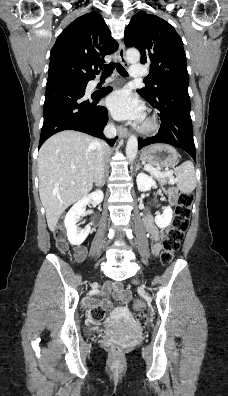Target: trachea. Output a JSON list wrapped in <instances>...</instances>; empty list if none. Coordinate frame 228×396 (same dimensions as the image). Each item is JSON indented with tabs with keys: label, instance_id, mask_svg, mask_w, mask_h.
<instances>
[{
	"label": "trachea",
	"instance_id": "3493384b",
	"mask_svg": "<svg viewBox=\"0 0 228 396\" xmlns=\"http://www.w3.org/2000/svg\"><path fill=\"white\" fill-rule=\"evenodd\" d=\"M100 68L102 69L103 73L102 76H109L112 74L113 70L116 68L120 75L127 77L128 73L124 69V67L119 63H111L109 65H101ZM146 81V79L144 80Z\"/></svg>",
	"mask_w": 228,
	"mask_h": 396
}]
</instances>
